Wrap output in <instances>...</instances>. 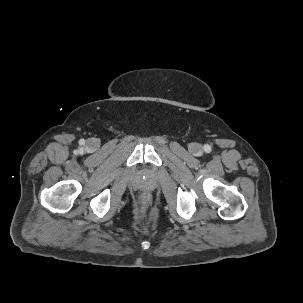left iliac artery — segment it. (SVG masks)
Listing matches in <instances>:
<instances>
[{
    "label": "left iliac artery",
    "instance_id": "obj_1",
    "mask_svg": "<svg viewBox=\"0 0 303 303\" xmlns=\"http://www.w3.org/2000/svg\"><path fill=\"white\" fill-rule=\"evenodd\" d=\"M204 150H205V152L209 153L211 151V146L205 145Z\"/></svg>",
    "mask_w": 303,
    "mask_h": 303
}]
</instances>
